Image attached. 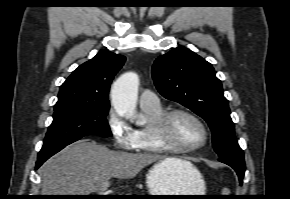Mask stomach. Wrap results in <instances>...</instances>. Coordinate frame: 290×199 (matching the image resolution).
Masks as SVG:
<instances>
[{"label": "stomach", "instance_id": "1", "mask_svg": "<svg viewBox=\"0 0 290 199\" xmlns=\"http://www.w3.org/2000/svg\"><path fill=\"white\" fill-rule=\"evenodd\" d=\"M150 195H205V182L195 168L172 169L162 161L155 163L146 174ZM195 199V196L157 197Z\"/></svg>", "mask_w": 290, "mask_h": 199}]
</instances>
